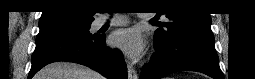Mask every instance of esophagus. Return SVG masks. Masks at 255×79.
<instances>
[{"label": "esophagus", "mask_w": 255, "mask_h": 79, "mask_svg": "<svg viewBox=\"0 0 255 79\" xmlns=\"http://www.w3.org/2000/svg\"><path fill=\"white\" fill-rule=\"evenodd\" d=\"M128 79H138L137 72L130 63L128 64Z\"/></svg>", "instance_id": "1"}]
</instances>
